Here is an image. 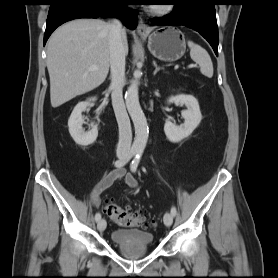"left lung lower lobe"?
<instances>
[{"label": "left lung lower lobe", "mask_w": 278, "mask_h": 278, "mask_svg": "<svg viewBox=\"0 0 278 278\" xmlns=\"http://www.w3.org/2000/svg\"><path fill=\"white\" fill-rule=\"evenodd\" d=\"M173 11L163 18H154L158 26H183L199 32L212 46L218 56V26L216 0H173Z\"/></svg>", "instance_id": "1"}]
</instances>
